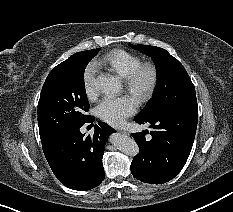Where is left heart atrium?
Segmentation results:
<instances>
[{
    "label": "left heart atrium",
    "instance_id": "1",
    "mask_svg": "<svg viewBox=\"0 0 233 212\" xmlns=\"http://www.w3.org/2000/svg\"><path fill=\"white\" fill-rule=\"evenodd\" d=\"M136 111L135 100L128 95L120 97H106L96 108L97 115L105 122L120 126L125 119Z\"/></svg>",
    "mask_w": 233,
    "mask_h": 212
}]
</instances>
